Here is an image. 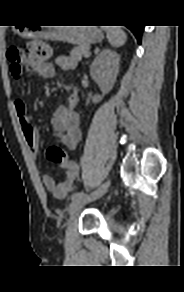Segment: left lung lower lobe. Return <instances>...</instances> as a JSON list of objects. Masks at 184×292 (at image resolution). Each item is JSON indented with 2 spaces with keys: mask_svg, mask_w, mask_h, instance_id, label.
Listing matches in <instances>:
<instances>
[{
  "mask_svg": "<svg viewBox=\"0 0 184 292\" xmlns=\"http://www.w3.org/2000/svg\"><path fill=\"white\" fill-rule=\"evenodd\" d=\"M135 35V37L137 38L138 43H141V36H142V31L144 26H140V25H132V26H127Z\"/></svg>",
  "mask_w": 184,
  "mask_h": 292,
  "instance_id": "0a47b994",
  "label": "left lung lower lobe"
}]
</instances>
